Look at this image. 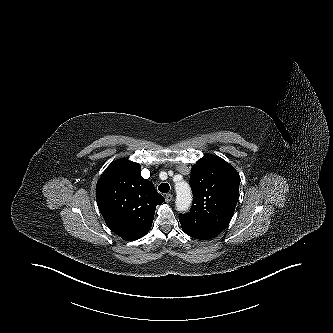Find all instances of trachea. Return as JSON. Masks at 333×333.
<instances>
[{"label":"trachea","mask_w":333,"mask_h":333,"mask_svg":"<svg viewBox=\"0 0 333 333\" xmlns=\"http://www.w3.org/2000/svg\"><path fill=\"white\" fill-rule=\"evenodd\" d=\"M158 190L162 193H167L170 190V186L168 183H161L158 187Z\"/></svg>","instance_id":"trachea-1"}]
</instances>
